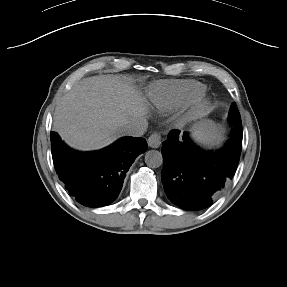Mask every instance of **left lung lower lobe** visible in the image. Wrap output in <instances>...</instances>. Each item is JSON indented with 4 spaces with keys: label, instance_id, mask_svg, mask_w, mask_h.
<instances>
[{
    "label": "left lung lower lobe",
    "instance_id": "1",
    "mask_svg": "<svg viewBox=\"0 0 287 287\" xmlns=\"http://www.w3.org/2000/svg\"><path fill=\"white\" fill-rule=\"evenodd\" d=\"M234 130L225 147L215 153L196 148L184 133L171 130L162 143L165 155L161 172L168 199L186 210H201L225 188L236 171L242 146V123L231 122Z\"/></svg>",
    "mask_w": 287,
    "mask_h": 287
}]
</instances>
